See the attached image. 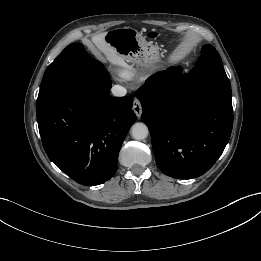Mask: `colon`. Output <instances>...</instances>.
I'll return each instance as SVG.
<instances>
[{
	"mask_svg": "<svg viewBox=\"0 0 261 261\" xmlns=\"http://www.w3.org/2000/svg\"><path fill=\"white\" fill-rule=\"evenodd\" d=\"M150 36H151V37H154V36H155V34H154V33H152V34H150Z\"/></svg>",
	"mask_w": 261,
	"mask_h": 261,
	"instance_id": "1",
	"label": "colon"
}]
</instances>
